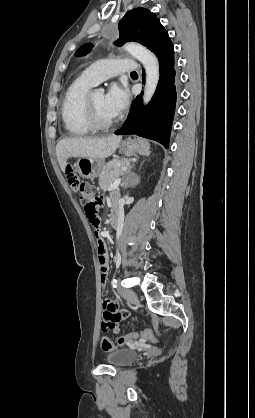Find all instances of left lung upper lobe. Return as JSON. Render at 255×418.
I'll return each instance as SVG.
<instances>
[{
    "label": "left lung upper lobe",
    "mask_w": 255,
    "mask_h": 418,
    "mask_svg": "<svg viewBox=\"0 0 255 418\" xmlns=\"http://www.w3.org/2000/svg\"><path fill=\"white\" fill-rule=\"evenodd\" d=\"M118 29L119 39L115 42L116 45L121 46L128 41H136L155 54L170 39L156 15L145 8L128 11L120 21ZM91 48L92 44H85L78 49L76 55H86Z\"/></svg>",
    "instance_id": "left-lung-upper-lobe-1"
}]
</instances>
